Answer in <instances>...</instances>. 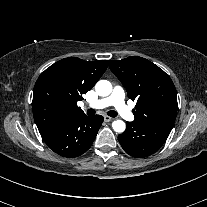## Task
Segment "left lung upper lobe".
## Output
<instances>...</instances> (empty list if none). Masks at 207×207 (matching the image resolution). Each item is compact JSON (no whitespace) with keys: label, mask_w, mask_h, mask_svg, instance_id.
Listing matches in <instances>:
<instances>
[{"label":"left lung upper lobe","mask_w":207,"mask_h":207,"mask_svg":"<svg viewBox=\"0 0 207 207\" xmlns=\"http://www.w3.org/2000/svg\"><path fill=\"white\" fill-rule=\"evenodd\" d=\"M111 71L137 100L134 122L171 131L177 114V93L171 78L147 59L132 56L109 61Z\"/></svg>","instance_id":"obj_1"}]
</instances>
